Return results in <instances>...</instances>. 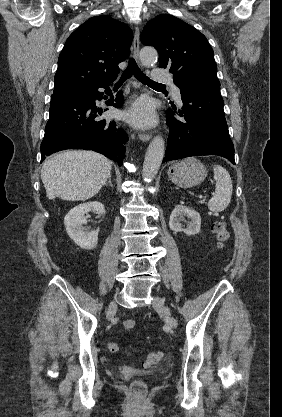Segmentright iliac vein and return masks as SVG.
Segmentation results:
<instances>
[{
  "label": "right iliac vein",
  "mask_w": 282,
  "mask_h": 417,
  "mask_svg": "<svg viewBox=\"0 0 282 417\" xmlns=\"http://www.w3.org/2000/svg\"><path fill=\"white\" fill-rule=\"evenodd\" d=\"M116 310H117V303H116V301L113 300L109 305L108 312H107V318L112 317L114 315V313L116 312Z\"/></svg>",
  "instance_id": "obj_1"
}]
</instances>
